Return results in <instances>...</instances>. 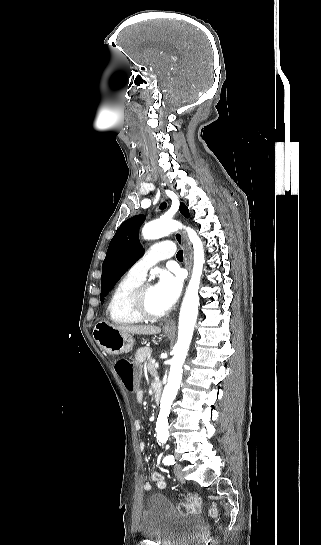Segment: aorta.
Masks as SVG:
<instances>
[{
    "mask_svg": "<svg viewBox=\"0 0 321 545\" xmlns=\"http://www.w3.org/2000/svg\"><path fill=\"white\" fill-rule=\"evenodd\" d=\"M182 225L171 219L160 218L158 220L145 224L142 235L147 240L159 239L181 228ZM189 239L194 250V264L191 280L186 290L182 302L179 325L178 340L173 348L174 356L170 361L171 367L168 376V382L164 388L160 403V412L157 419V440L165 443L169 437L168 416L171 405L175 399L182 380V366L188 353L189 345L192 339L199 307L198 289L203 270L204 250L203 244L197 233L187 227Z\"/></svg>",
    "mask_w": 321,
    "mask_h": 545,
    "instance_id": "762f6f07",
    "label": "aorta"
}]
</instances>
